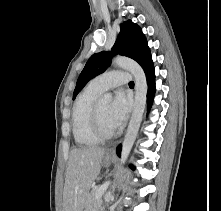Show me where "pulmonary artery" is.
<instances>
[{
    "instance_id": "e3ab8cb5",
    "label": "pulmonary artery",
    "mask_w": 221,
    "mask_h": 211,
    "mask_svg": "<svg viewBox=\"0 0 221 211\" xmlns=\"http://www.w3.org/2000/svg\"><path fill=\"white\" fill-rule=\"evenodd\" d=\"M130 77L128 72L112 70L95 77L91 80L90 84L101 92H104L114 87L127 84L130 81Z\"/></svg>"
}]
</instances>
